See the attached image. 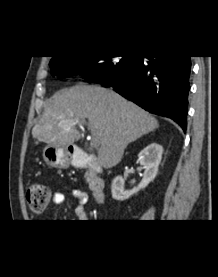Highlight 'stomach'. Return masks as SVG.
<instances>
[{
  "label": "stomach",
  "mask_w": 218,
  "mask_h": 277,
  "mask_svg": "<svg viewBox=\"0 0 218 277\" xmlns=\"http://www.w3.org/2000/svg\"><path fill=\"white\" fill-rule=\"evenodd\" d=\"M45 162L55 168H67L70 158L66 147L46 146L43 150Z\"/></svg>",
  "instance_id": "1"
}]
</instances>
